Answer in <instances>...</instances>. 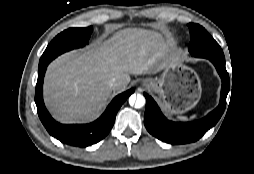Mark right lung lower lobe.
<instances>
[{
	"label": "right lung lower lobe",
	"mask_w": 254,
	"mask_h": 174,
	"mask_svg": "<svg viewBox=\"0 0 254 174\" xmlns=\"http://www.w3.org/2000/svg\"><path fill=\"white\" fill-rule=\"evenodd\" d=\"M47 65L38 69V80L35 91V103L42 124L48 133L62 143L78 147L95 144L107 136L113 127L116 114L125 100L134 92L130 89L116 96L106 111L96 121L83 125H64L56 122L45 108L43 102V79Z\"/></svg>",
	"instance_id": "98d812e1"
}]
</instances>
